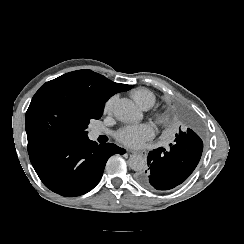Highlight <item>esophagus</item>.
<instances>
[{"mask_svg": "<svg viewBox=\"0 0 244 244\" xmlns=\"http://www.w3.org/2000/svg\"><path fill=\"white\" fill-rule=\"evenodd\" d=\"M132 154H139L142 155L143 157H147L148 153L146 150H128Z\"/></svg>", "mask_w": 244, "mask_h": 244, "instance_id": "obj_1", "label": "esophagus"}]
</instances>
